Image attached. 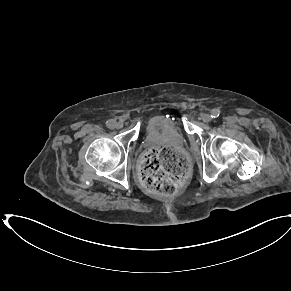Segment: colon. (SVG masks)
Returning a JSON list of instances; mask_svg holds the SVG:
<instances>
[{
	"mask_svg": "<svg viewBox=\"0 0 291 291\" xmlns=\"http://www.w3.org/2000/svg\"><path fill=\"white\" fill-rule=\"evenodd\" d=\"M188 168L187 158L176 149H151L141 160L140 180L148 191L169 196L179 190Z\"/></svg>",
	"mask_w": 291,
	"mask_h": 291,
	"instance_id": "colon-1",
	"label": "colon"
}]
</instances>
